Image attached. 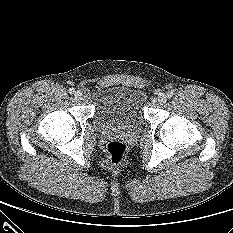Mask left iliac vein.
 <instances>
[{
  "mask_svg": "<svg viewBox=\"0 0 233 233\" xmlns=\"http://www.w3.org/2000/svg\"><path fill=\"white\" fill-rule=\"evenodd\" d=\"M167 95L166 94H164V93H160L159 95H158V102L160 103V104H165L166 103V101H167Z\"/></svg>",
  "mask_w": 233,
  "mask_h": 233,
  "instance_id": "obj_1",
  "label": "left iliac vein"
}]
</instances>
